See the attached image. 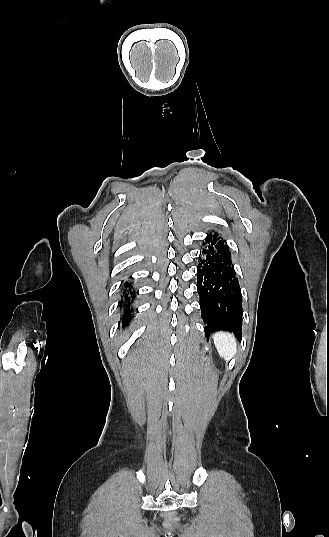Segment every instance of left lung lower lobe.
<instances>
[{"label":"left lung lower lobe","mask_w":329,"mask_h":537,"mask_svg":"<svg viewBox=\"0 0 329 537\" xmlns=\"http://www.w3.org/2000/svg\"><path fill=\"white\" fill-rule=\"evenodd\" d=\"M197 292L206 336L224 330L242 336V295L228 246L209 233L198 258Z\"/></svg>","instance_id":"0a47b994"}]
</instances>
